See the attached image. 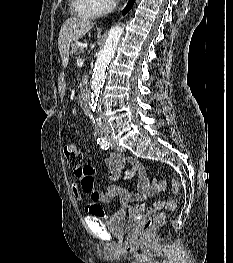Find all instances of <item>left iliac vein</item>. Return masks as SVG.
Instances as JSON below:
<instances>
[{"label": "left iliac vein", "instance_id": "left-iliac-vein-1", "mask_svg": "<svg viewBox=\"0 0 233 263\" xmlns=\"http://www.w3.org/2000/svg\"><path fill=\"white\" fill-rule=\"evenodd\" d=\"M107 140L109 141L110 146L113 149H115L116 151H118V152H124L125 151V149L123 147H121L120 145H118V143H116V141L113 139L112 136H108Z\"/></svg>", "mask_w": 233, "mask_h": 263}]
</instances>
